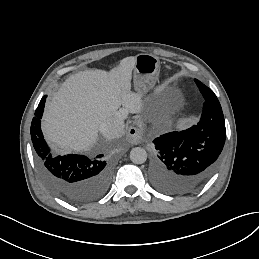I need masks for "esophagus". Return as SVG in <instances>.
Listing matches in <instances>:
<instances>
[{"mask_svg": "<svg viewBox=\"0 0 259 259\" xmlns=\"http://www.w3.org/2000/svg\"><path fill=\"white\" fill-rule=\"evenodd\" d=\"M127 140L130 144L137 145L143 139V130L137 126H131L127 132Z\"/></svg>", "mask_w": 259, "mask_h": 259, "instance_id": "esophagus-1", "label": "esophagus"}]
</instances>
